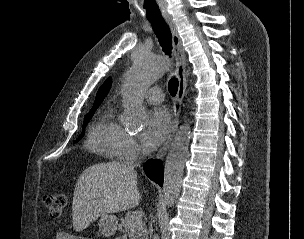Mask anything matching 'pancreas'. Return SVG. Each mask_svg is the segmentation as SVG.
Returning <instances> with one entry per match:
<instances>
[{"instance_id":"cf45deb5","label":"pancreas","mask_w":304,"mask_h":239,"mask_svg":"<svg viewBox=\"0 0 304 239\" xmlns=\"http://www.w3.org/2000/svg\"><path fill=\"white\" fill-rule=\"evenodd\" d=\"M119 229L129 236V239H147V228L138 212H127L121 219Z\"/></svg>"}]
</instances>
